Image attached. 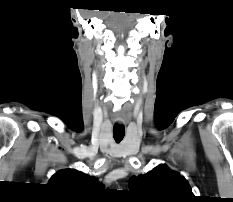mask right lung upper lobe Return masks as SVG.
Returning a JSON list of instances; mask_svg holds the SVG:
<instances>
[{
  "label": "right lung upper lobe",
  "mask_w": 233,
  "mask_h": 202,
  "mask_svg": "<svg viewBox=\"0 0 233 202\" xmlns=\"http://www.w3.org/2000/svg\"><path fill=\"white\" fill-rule=\"evenodd\" d=\"M48 184L65 192H85L101 187L94 176H88L74 169L57 172Z\"/></svg>",
  "instance_id": "1"
}]
</instances>
